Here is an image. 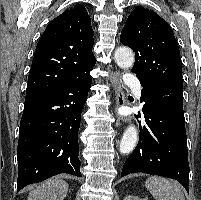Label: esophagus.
Wrapping results in <instances>:
<instances>
[{
  "mask_svg": "<svg viewBox=\"0 0 201 200\" xmlns=\"http://www.w3.org/2000/svg\"><path fill=\"white\" fill-rule=\"evenodd\" d=\"M111 83L114 91V100H115V110L117 112L118 108L126 104V95L123 87V83L121 80L120 72L115 71L111 75ZM117 118L121 122H129L130 117L121 115L117 113Z\"/></svg>",
  "mask_w": 201,
  "mask_h": 200,
  "instance_id": "34e87169",
  "label": "esophagus"
}]
</instances>
